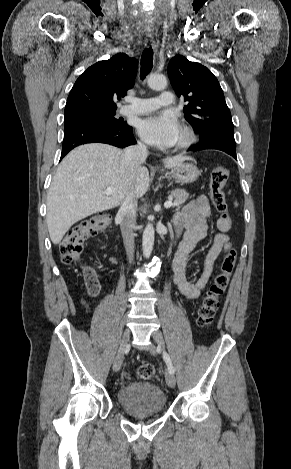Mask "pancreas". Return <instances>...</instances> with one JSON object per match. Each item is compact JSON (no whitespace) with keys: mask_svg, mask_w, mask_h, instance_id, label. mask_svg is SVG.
<instances>
[{"mask_svg":"<svg viewBox=\"0 0 291 469\" xmlns=\"http://www.w3.org/2000/svg\"><path fill=\"white\" fill-rule=\"evenodd\" d=\"M171 196L174 198L173 206L178 207L185 203L189 194L184 189H175L171 192Z\"/></svg>","mask_w":291,"mask_h":469,"instance_id":"1","label":"pancreas"}]
</instances>
